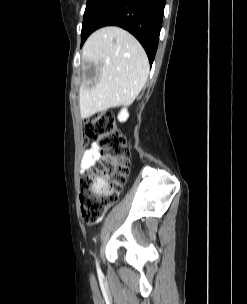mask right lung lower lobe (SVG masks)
<instances>
[{"instance_id":"1","label":"right lung lower lobe","mask_w":247,"mask_h":304,"mask_svg":"<svg viewBox=\"0 0 247 304\" xmlns=\"http://www.w3.org/2000/svg\"><path fill=\"white\" fill-rule=\"evenodd\" d=\"M165 0H98L84 17L81 46L103 26H119L133 34L144 47L152 65L159 42Z\"/></svg>"}]
</instances>
